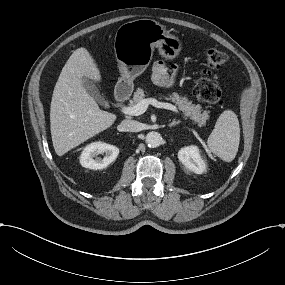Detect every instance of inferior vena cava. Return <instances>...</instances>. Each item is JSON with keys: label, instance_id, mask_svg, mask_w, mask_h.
<instances>
[{"label": "inferior vena cava", "instance_id": "602c4592", "mask_svg": "<svg viewBox=\"0 0 285 285\" xmlns=\"http://www.w3.org/2000/svg\"><path fill=\"white\" fill-rule=\"evenodd\" d=\"M120 128L126 132H138L141 129V124L135 120H122L120 123Z\"/></svg>", "mask_w": 285, "mask_h": 285}]
</instances>
